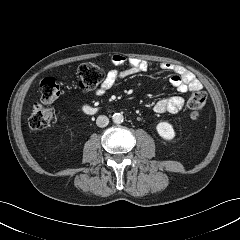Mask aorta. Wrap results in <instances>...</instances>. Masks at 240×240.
<instances>
[{
  "mask_svg": "<svg viewBox=\"0 0 240 240\" xmlns=\"http://www.w3.org/2000/svg\"><path fill=\"white\" fill-rule=\"evenodd\" d=\"M123 119H124V117H123V115H122L121 113H115V114H113V116H112V121H113V123H115V124H120V123H122V122H123Z\"/></svg>",
  "mask_w": 240,
  "mask_h": 240,
  "instance_id": "obj_1",
  "label": "aorta"
}]
</instances>
